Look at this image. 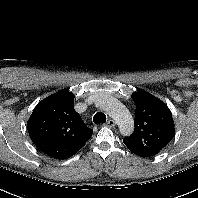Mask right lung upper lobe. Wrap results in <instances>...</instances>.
<instances>
[{"label":"right lung upper lobe","mask_w":198,"mask_h":198,"mask_svg":"<svg viewBox=\"0 0 198 198\" xmlns=\"http://www.w3.org/2000/svg\"><path fill=\"white\" fill-rule=\"evenodd\" d=\"M27 130L36 147L55 159L76 154L93 133L74 110V95L68 90L39 102L27 122Z\"/></svg>","instance_id":"cb5924a9"}]
</instances>
